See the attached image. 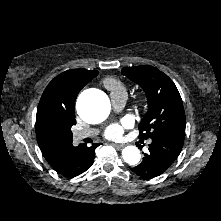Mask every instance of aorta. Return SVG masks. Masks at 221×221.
I'll list each match as a JSON object with an SVG mask.
<instances>
[{
  "mask_svg": "<svg viewBox=\"0 0 221 221\" xmlns=\"http://www.w3.org/2000/svg\"><path fill=\"white\" fill-rule=\"evenodd\" d=\"M77 112L87 122L102 121L110 112L109 99L100 93L82 95L77 101ZM122 157L129 165H136L139 163L141 155L136 146L129 145L122 150Z\"/></svg>",
  "mask_w": 221,
  "mask_h": 221,
  "instance_id": "1",
  "label": "aorta"
}]
</instances>
